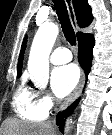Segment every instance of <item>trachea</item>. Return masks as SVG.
Here are the masks:
<instances>
[{"label":"trachea","mask_w":112,"mask_h":135,"mask_svg":"<svg viewBox=\"0 0 112 135\" xmlns=\"http://www.w3.org/2000/svg\"><path fill=\"white\" fill-rule=\"evenodd\" d=\"M58 19L60 21L64 36L66 40L71 44H76V35L72 27L67 7L64 0H53Z\"/></svg>","instance_id":"obj_1"}]
</instances>
